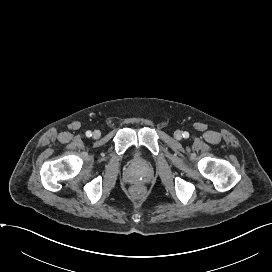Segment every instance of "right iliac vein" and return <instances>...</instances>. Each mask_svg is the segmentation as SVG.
<instances>
[{
    "label": "right iliac vein",
    "mask_w": 272,
    "mask_h": 272,
    "mask_svg": "<svg viewBox=\"0 0 272 272\" xmlns=\"http://www.w3.org/2000/svg\"><path fill=\"white\" fill-rule=\"evenodd\" d=\"M100 135H101V133H100V131H98V130H95V131L93 132V138H95V139H98V138L100 137Z\"/></svg>",
    "instance_id": "obj_1"
}]
</instances>
